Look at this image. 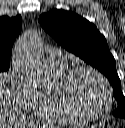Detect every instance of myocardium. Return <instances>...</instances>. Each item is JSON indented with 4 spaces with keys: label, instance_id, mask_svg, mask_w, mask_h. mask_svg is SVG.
<instances>
[{
    "label": "myocardium",
    "instance_id": "obj_1",
    "mask_svg": "<svg viewBox=\"0 0 125 128\" xmlns=\"http://www.w3.org/2000/svg\"><path fill=\"white\" fill-rule=\"evenodd\" d=\"M83 72H89L94 76H96L104 87L105 95L107 99L106 105L104 109L97 114H85L81 112L80 110L77 109V107L75 106V104L73 103L70 97L71 84L73 83L75 78ZM56 94L61 106L69 113V115L72 118L84 123L94 122L105 117L110 112L113 103V95L110 84L107 81V79L103 76L102 73H100L95 68L85 65L78 66L69 70L63 76V78L58 82L56 86Z\"/></svg>",
    "mask_w": 125,
    "mask_h": 128
}]
</instances>
